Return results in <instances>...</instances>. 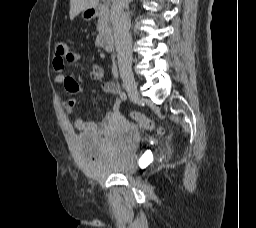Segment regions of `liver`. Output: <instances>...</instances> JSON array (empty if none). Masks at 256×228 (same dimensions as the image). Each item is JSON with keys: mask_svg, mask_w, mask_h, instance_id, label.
<instances>
[{"mask_svg": "<svg viewBox=\"0 0 256 228\" xmlns=\"http://www.w3.org/2000/svg\"><path fill=\"white\" fill-rule=\"evenodd\" d=\"M99 0H70V19L73 20L81 11L96 7Z\"/></svg>", "mask_w": 256, "mask_h": 228, "instance_id": "obj_1", "label": "liver"}]
</instances>
